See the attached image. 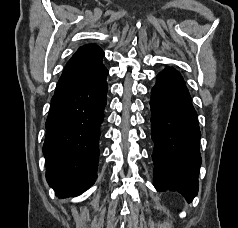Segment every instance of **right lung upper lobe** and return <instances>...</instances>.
<instances>
[{
    "label": "right lung upper lobe",
    "mask_w": 238,
    "mask_h": 228,
    "mask_svg": "<svg viewBox=\"0 0 238 228\" xmlns=\"http://www.w3.org/2000/svg\"><path fill=\"white\" fill-rule=\"evenodd\" d=\"M104 52L95 44L80 47L66 64L56 89L92 82L106 70L102 64Z\"/></svg>",
    "instance_id": "1"
}]
</instances>
